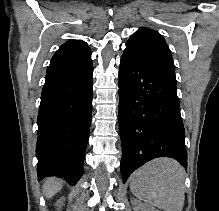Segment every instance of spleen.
<instances>
[{
	"label": "spleen",
	"mask_w": 219,
	"mask_h": 211,
	"mask_svg": "<svg viewBox=\"0 0 219 211\" xmlns=\"http://www.w3.org/2000/svg\"><path fill=\"white\" fill-rule=\"evenodd\" d=\"M185 169L172 157H157L133 171L130 189L138 199L164 211H182Z\"/></svg>",
	"instance_id": "1"
}]
</instances>
